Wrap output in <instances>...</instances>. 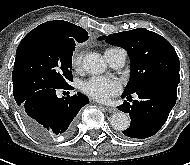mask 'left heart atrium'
Instances as JSON below:
<instances>
[{"label": "left heart atrium", "instance_id": "left-heart-atrium-1", "mask_svg": "<svg viewBox=\"0 0 190 165\" xmlns=\"http://www.w3.org/2000/svg\"><path fill=\"white\" fill-rule=\"evenodd\" d=\"M121 89L118 80L105 77H92L81 84L82 92L98 102H108L119 94Z\"/></svg>", "mask_w": 190, "mask_h": 165}]
</instances>
